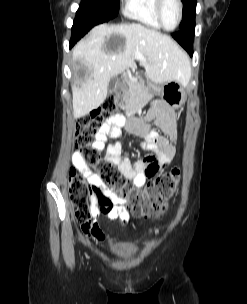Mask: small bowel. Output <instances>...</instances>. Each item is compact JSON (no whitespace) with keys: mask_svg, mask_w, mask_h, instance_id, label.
Returning <instances> with one entry per match:
<instances>
[{"mask_svg":"<svg viewBox=\"0 0 247 304\" xmlns=\"http://www.w3.org/2000/svg\"><path fill=\"white\" fill-rule=\"evenodd\" d=\"M148 117L155 120L164 136L149 130L141 122H127L122 115H115L104 122L93 141V146L99 152L103 151L107 140L117 138L125 126L129 132L143 138L142 147L154 152L156 156L152 152H147L146 158L132 162L129 158L121 156V147L118 144L109 145L107 155H104V162H111V165L117 166L120 173L131 181L132 188L136 190L141 189L160 169L170 165L176 151L177 130L174 111L166 104L156 102L151 107ZM152 158L156 161L155 168L151 167ZM72 163L93 189V218L90 223L82 225V230L92 239L103 240L105 235L98 226L96 218L103 213L110 220L124 222L127 218L125 199L111 192L100 177L90 170L80 151L73 153Z\"/></svg>","mask_w":247,"mask_h":304,"instance_id":"obj_1","label":"small bowel"}]
</instances>
